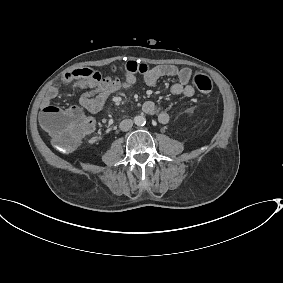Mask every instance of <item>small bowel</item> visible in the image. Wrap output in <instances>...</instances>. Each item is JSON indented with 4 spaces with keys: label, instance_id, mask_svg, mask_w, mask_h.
Masks as SVG:
<instances>
[{
    "label": "small bowel",
    "instance_id": "obj_1",
    "mask_svg": "<svg viewBox=\"0 0 283 283\" xmlns=\"http://www.w3.org/2000/svg\"><path fill=\"white\" fill-rule=\"evenodd\" d=\"M191 70L188 68H178L171 64L155 66L144 74V82L149 87H154L161 78L174 77L177 82L171 86V93L175 96L183 95L192 97L195 93L194 87L190 84ZM65 83L71 84L74 88L82 90L79 104L88 112L95 114L99 112L107 102L108 98L122 90L132 86L136 77L133 74L125 73L124 79L103 77L99 72L89 68L75 69L66 73L63 77ZM59 95L57 86H51L42 100V111L54 107L52 101ZM142 110L147 115H153L161 124H166L170 116L166 111H159L152 101H145Z\"/></svg>",
    "mask_w": 283,
    "mask_h": 283
}]
</instances>
